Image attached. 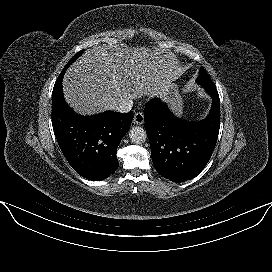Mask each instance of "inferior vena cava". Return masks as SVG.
<instances>
[{
  "label": "inferior vena cava",
  "instance_id": "inferior-vena-cava-1",
  "mask_svg": "<svg viewBox=\"0 0 272 272\" xmlns=\"http://www.w3.org/2000/svg\"><path fill=\"white\" fill-rule=\"evenodd\" d=\"M133 107L132 99H122L119 103L112 106V110L120 113H128Z\"/></svg>",
  "mask_w": 272,
  "mask_h": 272
}]
</instances>
